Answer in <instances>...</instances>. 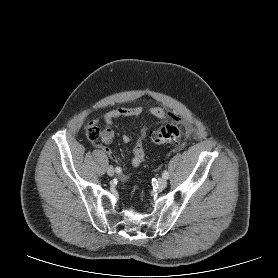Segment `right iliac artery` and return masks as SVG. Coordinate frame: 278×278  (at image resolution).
Masks as SVG:
<instances>
[{"label":"right iliac artery","instance_id":"82829eb1","mask_svg":"<svg viewBox=\"0 0 278 278\" xmlns=\"http://www.w3.org/2000/svg\"><path fill=\"white\" fill-rule=\"evenodd\" d=\"M115 171H116L117 173H120V172H121V168H120V167H116Z\"/></svg>","mask_w":278,"mask_h":278}]
</instances>
